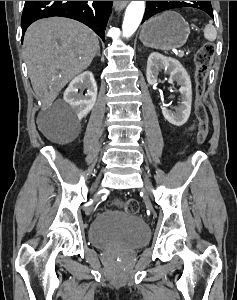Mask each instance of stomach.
I'll list each match as a JSON object with an SVG mask.
<instances>
[{
    "mask_svg": "<svg viewBox=\"0 0 237 300\" xmlns=\"http://www.w3.org/2000/svg\"><path fill=\"white\" fill-rule=\"evenodd\" d=\"M189 35L190 29L185 19L175 11H166L143 25L140 41L146 47L170 51L185 45Z\"/></svg>",
    "mask_w": 237,
    "mask_h": 300,
    "instance_id": "1",
    "label": "stomach"
}]
</instances>
